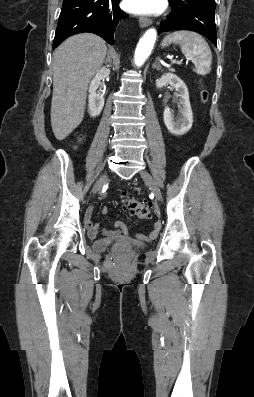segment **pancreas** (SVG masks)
Returning a JSON list of instances; mask_svg holds the SVG:
<instances>
[{
  "label": "pancreas",
  "instance_id": "1",
  "mask_svg": "<svg viewBox=\"0 0 254 397\" xmlns=\"http://www.w3.org/2000/svg\"><path fill=\"white\" fill-rule=\"evenodd\" d=\"M169 71H171V72H174V71H175V69H173V68H169Z\"/></svg>",
  "mask_w": 254,
  "mask_h": 397
}]
</instances>
